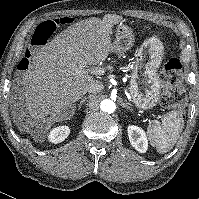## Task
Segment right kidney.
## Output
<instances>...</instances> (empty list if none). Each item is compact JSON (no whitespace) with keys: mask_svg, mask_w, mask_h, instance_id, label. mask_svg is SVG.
<instances>
[{"mask_svg":"<svg viewBox=\"0 0 199 199\" xmlns=\"http://www.w3.org/2000/svg\"><path fill=\"white\" fill-rule=\"evenodd\" d=\"M70 133L68 126H59L52 129L48 135V140L52 143H60L64 141Z\"/></svg>","mask_w":199,"mask_h":199,"instance_id":"right-kidney-1","label":"right kidney"}]
</instances>
